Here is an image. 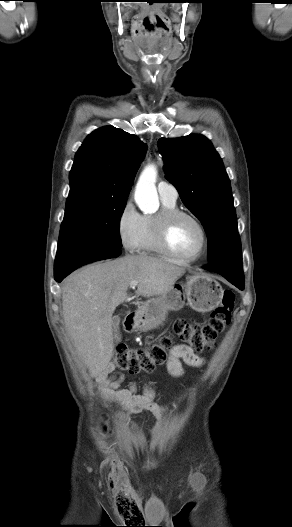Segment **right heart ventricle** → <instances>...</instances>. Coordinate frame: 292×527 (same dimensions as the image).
Wrapping results in <instances>:
<instances>
[{
    "mask_svg": "<svg viewBox=\"0 0 292 527\" xmlns=\"http://www.w3.org/2000/svg\"><path fill=\"white\" fill-rule=\"evenodd\" d=\"M162 199V210L176 208V201ZM136 250L141 254L165 255L157 245L154 235V216L143 215L137 237Z\"/></svg>",
    "mask_w": 292,
    "mask_h": 527,
    "instance_id": "obj_1",
    "label": "right heart ventricle"
}]
</instances>
